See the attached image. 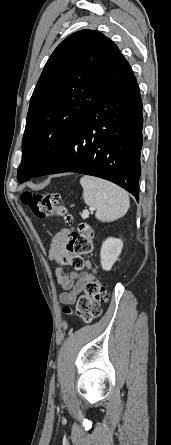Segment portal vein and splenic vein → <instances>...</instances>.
<instances>
[{"label": "portal vein and splenic vein", "mask_w": 171, "mask_h": 445, "mask_svg": "<svg viewBox=\"0 0 171 445\" xmlns=\"http://www.w3.org/2000/svg\"><path fill=\"white\" fill-rule=\"evenodd\" d=\"M90 210L93 211L94 208H90ZM83 215H84V216H88V215H89V211H88V210H84V211H83Z\"/></svg>", "instance_id": "portal-vein-and-splenic-vein-1"}]
</instances>
